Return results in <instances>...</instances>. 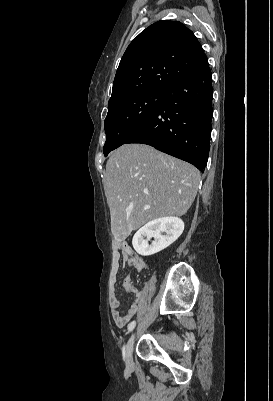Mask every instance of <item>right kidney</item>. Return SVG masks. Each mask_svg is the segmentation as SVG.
<instances>
[{
    "mask_svg": "<svg viewBox=\"0 0 273 401\" xmlns=\"http://www.w3.org/2000/svg\"><path fill=\"white\" fill-rule=\"evenodd\" d=\"M183 231L184 223L178 217L154 219L135 233L132 245L138 255L149 257V255H155V253H159V251H163L172 245L182 235ZM162 233H166V235H162ZM152 237H154V241L149 245L148 241Z\"/></svg>",
    "mask_w": 273,
    "mask_h": 401,
    "instance_id": "obj_1",
    "label": "right kidney"
}]
</instances>
